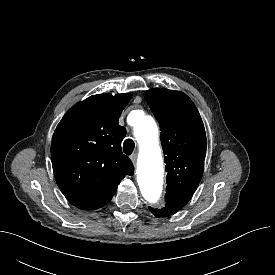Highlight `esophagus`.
I'll use <instances>...</instances> for the list:
<instances>
[{"mask_svg": "<svg viewBox=\"0 0 275 275\" xmlns=\"http://www.w3.org/2000/svg\"><path fill=\"white\" fill-rule=\"evenodd\" d=\"M130 159H131V161L135 164V163H136V160H137V153H133V154L130 156Z\"/></svg>", "mask_w": 275, "mask_h": 275, "instance_id": "34e87169", "label": "esophagus"}]
</instances>
